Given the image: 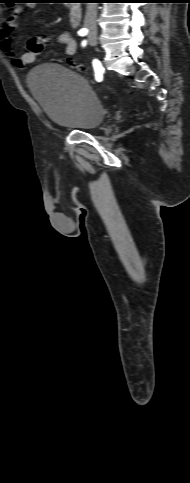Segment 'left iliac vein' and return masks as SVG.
<instances>
[{
  "mask_svg": "<svg viewBox=\"0 0 190 483\" xmlns=\"http://www.w3.org/2000/svg\"><path fill=\"white\" fill-rule=\"evenodd\" d=\"M89 43L92 46H95L97 44V37L95 34H90L89 35Z\"/></svg>",
  "mask_w": 190,
  "mask_h": 483,
  "instance_id": "left-iliac-vein-1",
  "label": "left iliac vein"
}]
</instances>
